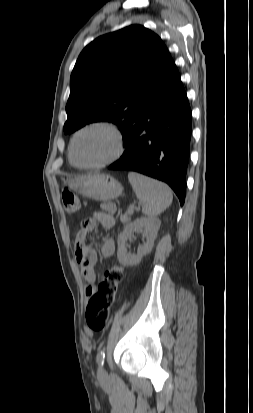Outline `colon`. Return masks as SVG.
Returning <instances> with one entry per match:
<instances>
[{
  "mask_svg": "<svg viewBox=\"0 0 253 413\" xmlns=\"http://www.w3.org/2000/svg\"><path fill=\"white\" fill-rule=\"evenodd\" d=\"M62 202L67 214L75 215L79 212V200L71 191L63 190ZM123 278V267L119 265L112 266L104 273L97 288L90 296L86 309V322L91 331L98 332L106 327L110 319L111 305Z\"/></svg>",
  "mask_w": 253,
  "mask_h": 413,
  "instance_id": "5ec220e1",
  "label": "colon"
}]
</instances>
